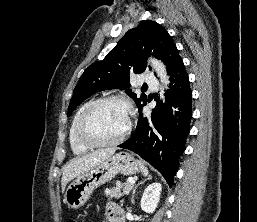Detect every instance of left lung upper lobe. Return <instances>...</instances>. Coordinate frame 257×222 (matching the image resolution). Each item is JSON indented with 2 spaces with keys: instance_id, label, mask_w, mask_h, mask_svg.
Returning <instances> with one entry per match:
<instances>
[{
  "instance_id": "left-lung-upper-lobe-1",
  "label": "left lung upper lobe",
  "mask_w": 257,
  "mask_h": 222,
  "mask_svg": "<svg viewBox=\"0 0 257 222\" xmlns=\"http://www.w3.org/2000/svg\"><path fill=\"white\" fill-rule=\"evenodd\" d=\"M149 55L162 60L167 71L181 58L168 32L158 23L145 20L129 30L103 60L84 71L74 89L68 116L81 102L99 91L130 87V73L144 72ZM126 92L139 110L146 104V95L137 98L130 90Z\"/></svg>"
}]
</instances>
